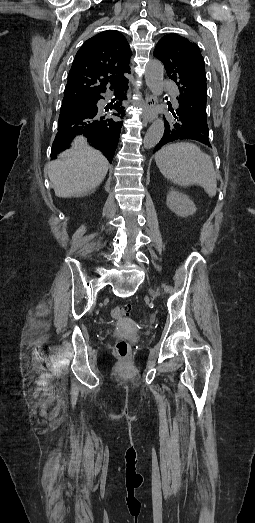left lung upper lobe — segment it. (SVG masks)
<instances>
[{"label": "left lung upper lobe", "instance_id": "5c2ea615", "mask_svg": "<svg viewBox=\"0 0 255 523\" xmlns=\"http://www.w3.org/2000/svg\"><path fill=\"white\" fill-rule=\"evenodd\" d=\"M154 56L163 62L167 75L179 86L175 109H183L182 115H195V121L207 125L205 62L199 47L177 34H168L157 43ZM168 110H174L171 104ZM158 149L156 146L154 152Z\"/></svg>", "mask_w": 255, "mask_h": 523}]
</instances>
